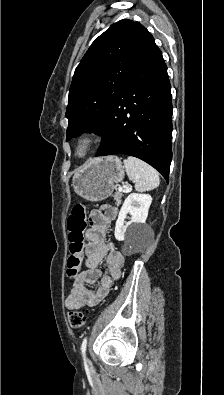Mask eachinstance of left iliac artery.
I'll return each mask as SVG.
<instances>
[{"mask_svg": "<svg viewBox=\"0 0 224 395\" xmlns=\"http://www.w3.org/2000/svg\"><path fill=\"white\" fill-rule=\"evenodd\" d=\"M86 350H87V337H85L83 339L82 345H81V352H82L84 359H86Z\"/></svg>", "mask_w": 224, "mask_h": 395, "instance_id": "obj_1", "label": "left iliac artery"}]
</instances>
